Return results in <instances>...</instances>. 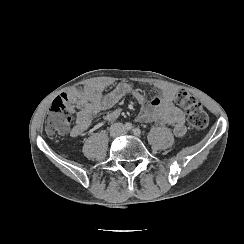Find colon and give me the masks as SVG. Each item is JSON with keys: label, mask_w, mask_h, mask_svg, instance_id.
Here are the masks:
<instances>
[{"label": "colon", "mask_w": 244, "mask_h": 244, "mask_svg": "<svg viewBox=\"0 0 244 244\" xmlns=\"http://www.w3.org/2000/svg\"><path fill=\"white\" fill-rule=\"evenodd\" d=\"M78 93L89 96L91 88L80 85ZM176 103L188 112V121L196 129H205L209 125L208 115L198 99L187 91H179ZM75 109L67 94L56 96L50 105V114L46 121V131L52 135L65 134L69 131Z\"/></svg>", "instance_id": "5ec220e1"}]
</instances>
